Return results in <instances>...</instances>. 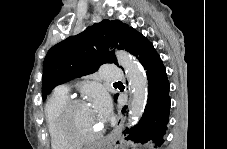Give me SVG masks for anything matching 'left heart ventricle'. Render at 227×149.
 Instances as JSON below:
<instances>
[{"instance_id":"1","label":"left heart ventricle","mask_w":227,"mask_h":149,"mask_svg":"<svg viewBox=\"0 0 227 149\" xmlns=\"http://www.w3.org/2000/svg\"><path fill=\"white\" fill-rule=\"evenodd\" d=\"M101 128V121L95 109L87 104L77 106L70 118V130L77 136L88 137Z\"/></svg>"}]
</instances>
